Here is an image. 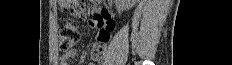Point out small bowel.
I'll return each mask as SVG.
<instances>
[{
  "label": "small bowel",
  "mask_w": 232,
  "mask_h": 65,
  "mask_svg": "<svg viewBox=\"0 0 232 65\" xmlns=\"http://www.w3.org/2000/svg\"><path fill=\"white\" fill-rule=\"evenodd\" d=\"M90 27H96L99 29L97 34V39L100 41L102 35H105V39L102 43L105 45L110 40L111 32L114 28V21L111 19L108 12L104 9L98 11L93 19L89 22ZM94 50L95 46L92 51V56L94 58ZM76 56L75 50H69L62 54L60 57V65H68V61ZM88 65H94V63H89Z\"/></svg>",
  "instance_id": "1"
}]
</instances>
